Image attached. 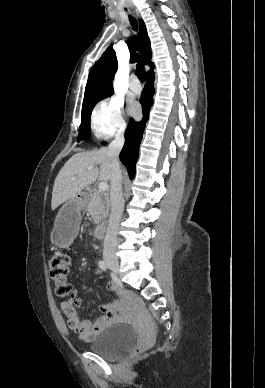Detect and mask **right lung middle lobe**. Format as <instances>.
<instances>
[{
  "label": "right lung middle lobe",
  "mask_w": 265,
  "mask_h": 388,
  "mask_svg": "<svg viewBox=\"0 0 265 388\" xmlns=\"http://www.w3.org/2000/svg\"><path fill=\"white\" fill-rule=\"evenodd\" d=\"M113 93L114 91L112 90L109 92L98 94L83 102L78 142L80 140H87L90 137V117L94 106L97 104V102L111 96ZM102 144H105V143H102Z\"/></svg>",
  "instance_id": "right-lung-middle-lobe-1"
}]
</instances>
